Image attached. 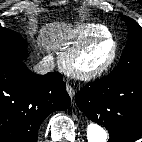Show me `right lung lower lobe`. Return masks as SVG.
<instances>
[{
  "instance_id": "obj_1",
  "label": "right lung lower lobe",
  "mask_w": 142,
  "mask_h": 142,
  "mask_svg": "<svg viewBox=\"0 0 142 142\" xmlns=\"http://www.w3.org/2000/svg\"><path fill=\"white\" fill-rule=\"evenodd\" d=\"M69 105L60 73L37 75L21 58H0V142H36L42 121Z\"/></svg>"
}]
</instances>
